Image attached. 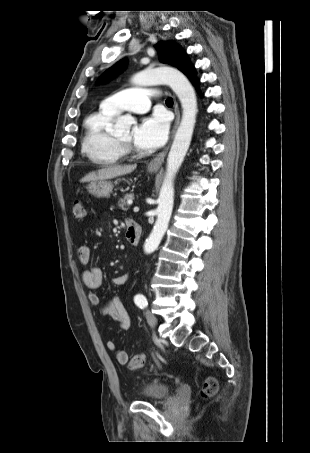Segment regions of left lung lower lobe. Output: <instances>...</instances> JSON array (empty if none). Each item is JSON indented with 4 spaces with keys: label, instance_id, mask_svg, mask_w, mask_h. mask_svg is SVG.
<instances>
[{
    "label": "left lung lower lobe",
    "instance_id": "0a47b994",
    "mask_svg": "<svg viewBox=\"0 0 310 453\" xmlns=\"http://www.w3.org/2000/svg\"><path fill=\"white\" fill-rule=\"evenodd\" d=\"M187 77L193 82L196 83L195 76H194V69L190 64L189 60H187L180 69Z\"/></svg>",
    "mask_w": 310,
    "mask_h": 453
}]
</instances>
